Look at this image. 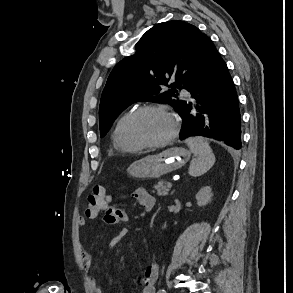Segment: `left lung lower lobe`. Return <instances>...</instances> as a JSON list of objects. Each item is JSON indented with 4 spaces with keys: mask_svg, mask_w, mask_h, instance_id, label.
Here are the masks:
<instances>
[{
    "mask_svg": "<svg viewBox=\"0 0 293 293\" xmlns=\"http://www.w3.org/2000/svg\"><path fill=\"white\" fill-rule=\"evenodd\" d=\"M182 100L180 139L204 136L241 147V116L238 97L228 68L214 44L210 43L202 75Z\"/></svg>",
    "mask_w": 293,
    "mask_h": 293,
    "instance_id": "1",
    "label": "left lung lower lobe"
}]
</instances>
